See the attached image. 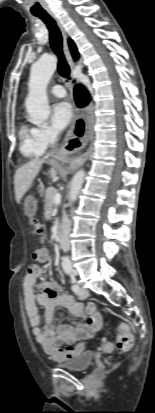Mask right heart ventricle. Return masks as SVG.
Returning a JSON list of instances; mask_svg holds the SVG:
<instances>
[{"mask_svg":"<svg viewBox=\"0 0 155 413\" xmlns=\"http://www.w3.org/2000/svg\"><path fill=\"white\" fill-rule=\"evenodd\" d=\"M20 152L29 159L38 158L43 154V150L39 147L35 135L34 128L27 125H21L19 128Z\"/></svg>","mask_w":155,"mask_h":413,"instance_id":"1","label":"right heart ventricle"}]
</instances>
